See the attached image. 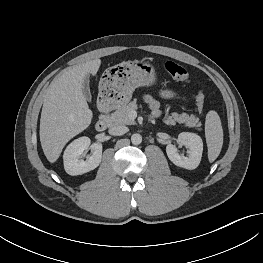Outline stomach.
I'll use <instances>...</instances> for the list:
<instances>
[{"label":"stomach","instance_id":"1","mask_svg":"<svg viewBox=\"0 0 263 263\" xmlns=\"http://www.w3.org/2000/svg\"><path fill=\"white\" fill-rule=\"evenodd\" d=\"M156 82V68L148 61L122 62L105 70L99 84V95L118 107L131 99L136 88Z\"/></svg>","mask_w":263,"mask_h":263}]
</instances>
